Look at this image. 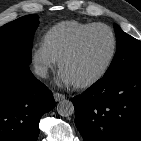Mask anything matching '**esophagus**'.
<instances>
[{
    "mask_svg": "<svg viewBox=\"0 0 141 141\" xmlns=\"http://www.w3.org/2000/svg\"><path fill=\"white\" fill-rule=\"evenodd\" d=\"M54 99L56 102H59V101L65 99V95L56 92V93H54Z\"/></svg>",
    "mask_w": 141,
    "mask_h": 141,
    "instance_id": "34e87169",
    "label": "esophagus"
}]
</instances>
